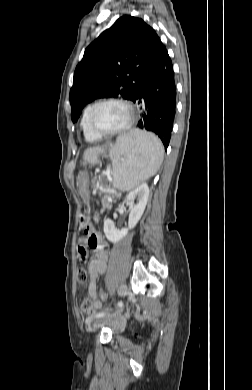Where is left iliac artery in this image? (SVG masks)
Masks as SVG:
<instances>
[{
  "instance_id": "1",
  "label": "left iliac artery",
  "mask_w": 252,
  "mask_h": 390,
  "mask_svg": "<svg viewBox=\"0 0 252 390\" xmlns=\"http://www.w3.org/2000/svg\"><path fill=\"white\" fill-rule=\"evenodd\" d=\"M117 306H118V307H122V306H123L122 301H119V302L117 303ZM104 315H105V312H100V313L96 314L95 317H96V318H99V317H103Z\"/></svg>"
}]
</instances>
